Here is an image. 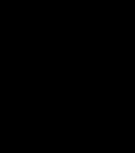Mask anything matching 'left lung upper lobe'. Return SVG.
<instances>
[{
  "instance_id": "obj_1",
  "label": "left lung upper lobe",
  "mask_w": 135,
  "mask_h": 153,
  "mask_svg": "<svg viewBox=\"0 0 135 153\" xmlns=\"http://www.w3.org/2000/svg\"><path fill=\"white\" fill-rule=\"evenodd\" d=\"M88 104L101 119H109L123 104V92L105 77H96L88 91Z\"/></svg>"
}]
</instances>
